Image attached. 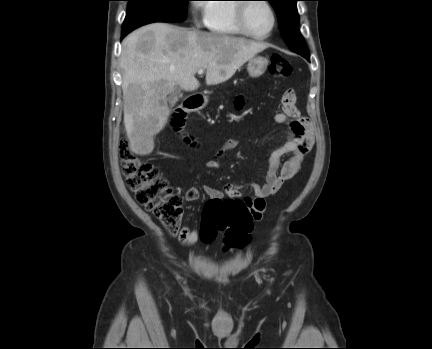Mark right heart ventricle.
Wrapping results in <instances>:
<instances>
[{"instance_id": "e07e8e85", "label": "right heart ventricle", "mask_w": 432, "mask_h": 349, "mask_svg": "<svg viewBox=\"0 0 432 349\" xmlns=\"http://www.w3.org/2000/svg\"><path fill=\"white\" fill-rule=\"evenodd\" d=\"M223 1L236 0H212L207 4L204 17L206 28L213 34L226 37H239L243 33L239 30L235 21L236 5Z\"/></svg>"}]
</instances>
